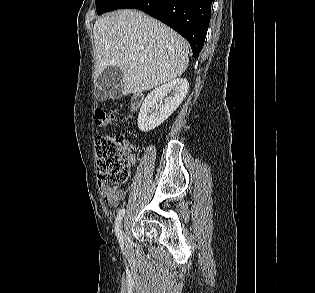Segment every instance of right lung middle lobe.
Segmentation results:
<instances>
[{
	"mask_svg": "<svg viewBox=\"0 0 315 293\" xmlns=\"http://www.w3.org/2000/svg\"><path fill=\"white\" fill-rule=\"evenodd\" d=\"M115 0H96V10L97 14L101 15L106 12L107 8L114 2Z\"/></svg>",
	"mask_w": 315,
	"mask_h": 293,
	"instance_id": "1",
	"label": "right lung middle lobe"
}]
</instances>
